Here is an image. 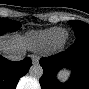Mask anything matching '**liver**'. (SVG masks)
<instances>
[{
    "instance_id": "obj_1",
    "label": "liver",
    "mask_w": 89,
    "mask_h": 89,
    "mask_svg": "<svg viewBox=\"0 0 89 89\" xmlns=\"http://www.w3.org/2000/svg\"><path fill=\"white\" fill-rule=\"evenodd\" d=\"M11 49H23L21 37L15 36L9 39H2L0 42V50L3 54H7Z\"/></svg>"
}]
</instances>
